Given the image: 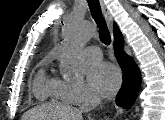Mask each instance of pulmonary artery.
<instances>
[{
  "instance_id": "obj_1",
  "label": "pulmonary artery",
  "mask_w": 165,
  "mask_h": 120,
  "mask_svg": "<svg viewBox=\"0 0 165 120\" xmlns=\"http://www.w3.org/2000/svg\"><path fill=\"white\" fill-rule=\"evenodd\" d=\"M85 55L89 60H99L102 58V51L97 46H89L85 49Z\"/></svg>"
}]
</instances>
